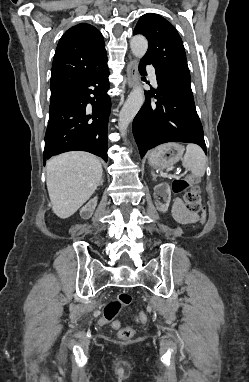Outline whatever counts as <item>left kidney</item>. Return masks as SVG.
<instances>
[{
    "label": "left kidney",
    "mask_w": 249,
    "mask_h": 382,
    "mask_svg": "<svg viewBox=\"0 0 249 382\" xmlns=\"http://www.w3.org/2000/svg\"><path fill=\"white\" fill-rule=\"evenodd\" d=\"M155 194L158 196H152V203H158L157 209L161 211H166L168 209L170 199H171V190L167 183H161L155 186ZM163 203V204H161Z\"/></svg>",
    "instance_id": "5707ae66"
}]
</instances>
